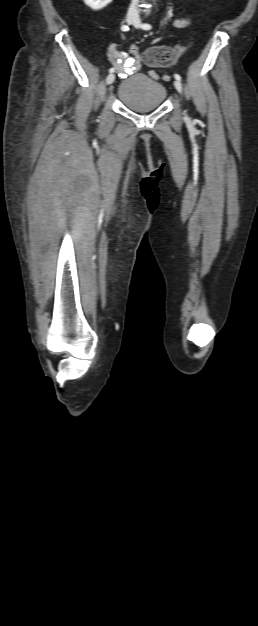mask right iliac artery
Segmentation results:
<instances>
[{"mask_svg": "<svg viewBox=\"0 0 258 626\" xmlns=\"http://www.w3.org/2000/svg\"><path fill=\"white\" fill-rule=\"evenodd\" d=\"M128 29H129V28H128V26H126V25H123V26L121 27V30H122V31H124V32H125V31H128ZM109 72H110V73L114 72V68H110V69H109Z\"/></svg>", "mask_w": 258, "mask_h": 626, "instance_id": "right-iliac-artery-1", "label": "right iliac artery"}]
</instances>
